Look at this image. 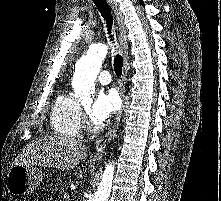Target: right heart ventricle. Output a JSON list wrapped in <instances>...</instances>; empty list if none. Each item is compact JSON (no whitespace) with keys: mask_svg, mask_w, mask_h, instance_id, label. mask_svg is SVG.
Returning <instances> with one entry per match:
<instances>
[{"mask_svg":"<svg viewBox=\"0 0 221 201\" xmlns=\"http://www.w3.org/2000/svg\"><path fill=\"white\" fill-rule=\"evenodd\" d=\"M81 105L73 96L61 92L55 99L51 112V126L62 136H75L81 127Z\"/></svg>","mask_w":221,"mask_h":201,"instance_id":"1","label":"right heart ventricle"}]
</instances>
